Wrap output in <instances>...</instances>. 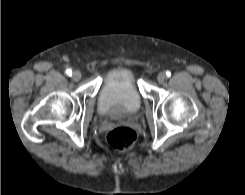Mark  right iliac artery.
Returning a JSON list of instances; mask_svg holds the SVG:
<instances>
[{
    "label": "right iliac artery",
    "instance_id": "1",
    "mask_svg": "<svg viewBox=\"0 0 245 195\" xmlns=\"http://www.w3.org/2000/svg\"><path fill=\"white\" fill-rule=\"evenodd\" d=\"M66 74H67L68 76H71V75H72V70H71V69H67V70H66Z\"/></svg>",
    "mask_w": 245,
    "mask_h": 195
}]
</instances>
